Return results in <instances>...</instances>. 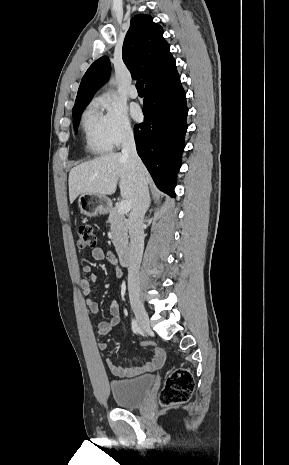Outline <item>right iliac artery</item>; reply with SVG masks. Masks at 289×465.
Returning a JSON list of instances; mask_svg holds the SVG:
<instances>
[{"instance_id":"right-iliac-artery-1","label":"right iliac artery","mask_w":289,"mask_h":465,"mask_svg":"<svg viewBox=\"0 0 289 465\" xmlns=\"http://www.w3.org/2000/svg\"><path fill=\"white\" fill-rule=\"evenodd\" d=\"M132 330L134 333H138L140 330L138 323L135 319H132Z\"/></svg>"}]
</instances>
